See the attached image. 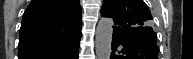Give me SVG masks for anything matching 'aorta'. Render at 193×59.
Instances as JSON below:
<instances>
[{
    "label": "aorta",
    "instance_id": "obj_1",
    "mask_svg": "<svg viewBox=\"0 0 193 59\" xmlns=\"http://www.w3.org/2000/svg\"><path fill=\"white\" fill-rule=\"evenodd\" d=\"M113 34V21L111 18H101L96 28L95 52L97 59H109Z\"/></svg>",
    "mask_w": 193,
    "mask_h": 59
}]
</instances>
